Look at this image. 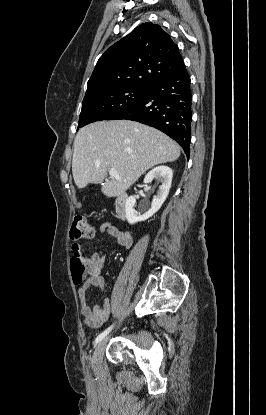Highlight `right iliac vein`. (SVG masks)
I'll return each mask as SVG.
<instances>
[{
    "mask_svg": "<svg viewBox=\"0 0 266 415\" xmlns=\"http://www.w3.org/2000/svg\"><path fill=\"white\" fill-rule=\"evenodd\" d=\"M106 343H107V338L102 339L97 344V346L94 350V353H93V356H92V366L95 370H99L101 368Z\"/></svg>",
    "mask_w": 266,
    "mask_h": 415,
    "instance_id": "right-iliac-vein-1",
    "label": "right iliac vein"
}]
</instances>
